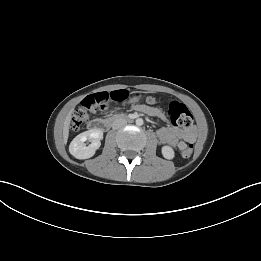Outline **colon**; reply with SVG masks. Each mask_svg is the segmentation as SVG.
Instances as JSON below:
<instances>
[{"label":"colon","instance_id":"1","mask_svg":"<svg viewBox=\"0 0 261 261\" xmlns=\"http://www.w3.org/2000/svg\"><path fill=\"white\" fill-rule=\"evenodd\" d=\"M129 97L126 90H116L110 93L100 92L85 98L81 106L74 112L71 120V130L79 131L88 120L90 114L99 110H104L112 101L117 104H123ZM146 102L149 105H154L157 102H164L161 97L148 96ZM168 116L171 122L180 127L188 128L193 124V116L189 109L178 101H172L168 105ZM194 144L192 142L186 144L182 149V155L189 157L192 155Z\"/></svg>","mask_w":261,"mask_h":261}]
</instances>
